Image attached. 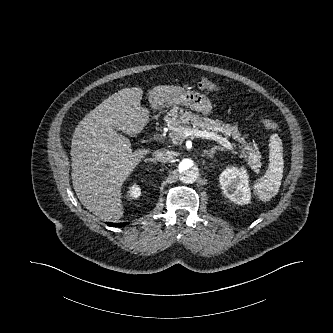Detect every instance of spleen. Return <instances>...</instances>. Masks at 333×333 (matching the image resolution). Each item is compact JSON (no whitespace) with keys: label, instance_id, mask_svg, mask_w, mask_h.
<instances>
[{"label":"spleen","instance_id":"1","mask_svg":"<svg viewBox=\"0 0 333 333\" xmlns=\"http://www.w3.org/2000/svg\"><path fill=\"white\" fill-rule=\"evenodd\" d=\"M283 168L282 142L278 136L272 135L268 169L265 175L259 178L253 186L255 193L261 200L268 201L277 194L283 177Z\"/></svg>","mask_w":333,"mask_h":333}]
</instances>
